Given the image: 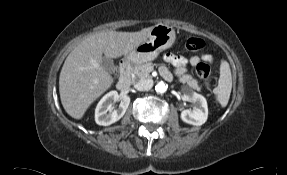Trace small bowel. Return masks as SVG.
<instances>
[{
	"label": "small bowel",
	"instance_id": "1",
	"mask_svg": "<svg viewBox=\"0 0 287 175\" xmlns=\"http://www.w3.org/2000/svg\"><path fill=\"white\" fill-rule=\"evenodd\" d=\"M164 59L171 63L174 67H175V73L177 75H182L185 72V66L187 65L188 62H190L192 65H197L201 60L204 61H208V62H212L213 58L211 55L209 54H205L202 55L201 57L199 56H194L192 57L189 61L180 55H175L172 53H167L164 56ZM160 73L162 74V76L167 79L170 80L171 79V73L168 71V69L166 67H161L160 68Z\"/></svg>",
	"mask_w": 287,
	"mask_h": 175
}]
</instances>
